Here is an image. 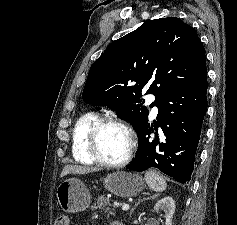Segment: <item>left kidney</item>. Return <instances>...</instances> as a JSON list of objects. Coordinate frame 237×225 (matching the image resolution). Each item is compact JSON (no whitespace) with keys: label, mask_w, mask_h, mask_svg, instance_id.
<instances>
[{"label":"left kidney","mask_w":237,"mask_h":225,"mask_svg":"<svg viewBox=\"0 0 237 225\" xmlns=\"http://www.w3.org/2000/svg\"><path fill=\"white\" fill-rule=\"evenodd\" d=\"M156 212L163 211L166 225H172V216L175 210V202L172 197L167 196L159 200L154 206Z\"/></svg>","instance_id":"left-kidney-1"}]
</instances>
